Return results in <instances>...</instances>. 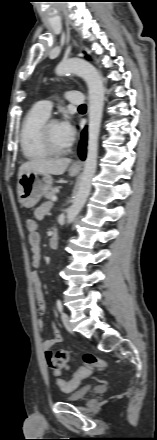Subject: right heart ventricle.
Segmentation results:
<instances>
[{"instance_id": "1", "label": "right heart ventricle", "mask_w": 157, "mask_h": 440, "mask_svg": "<svg viewBox=\"0 0 157 440\" xmlns=\"http://www.w3.org/2000/svg\"><path fill=\"white\" fill-rule=\"evenodd\" d=\"M48 117L36 106L31 108L25 115L20 131V144L23 154L27 158L37 159L49 155L39 136L40 127Z\"/></svg>"}]
</instances>
